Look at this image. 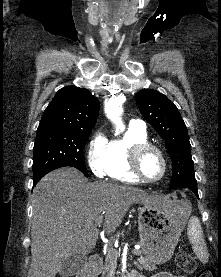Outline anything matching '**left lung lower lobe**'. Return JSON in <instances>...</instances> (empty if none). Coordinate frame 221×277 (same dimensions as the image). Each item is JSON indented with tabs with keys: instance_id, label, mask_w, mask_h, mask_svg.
<instances>
[{
	"instance_id": "1",
	"label": "left lung lower lobe",
	"mask_w": 221,
	"mask_h": 277,
	"mask_svg": "<svg viewBox=\"0 0 221 277\" xmlns=\"http://www.w3.org/2000/svg\"><path fill=\"white\" fill-rule=\"evenodd\" d=\"M188 189H190L191 191H193L195 193V195L198 197V190H197V185L195 186H189L187 187Z\"/></svg>"
}]
</instances>
